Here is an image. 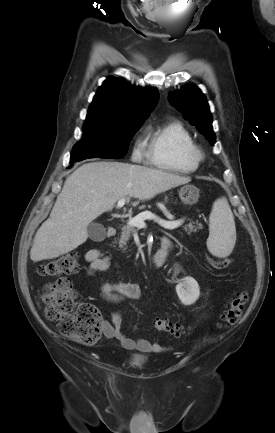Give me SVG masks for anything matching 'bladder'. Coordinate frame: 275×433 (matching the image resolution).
<instances>
[{"label": "bladder", "instance_id": "obj_1", "mask_svg": "<svg viewBox=\"0 0 275 433\" xmlns=\"http://www.w3.org/2000/svg\"><path fill=\"white\" fill-rule=\"evenodd\" d=\"M130 361L135 366H142L146 361V357L143 355H132Z\"/></svg>", "mask_w": 275, "mask_h": 433}]
</instances>
